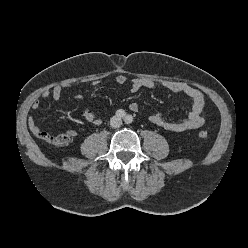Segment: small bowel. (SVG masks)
Here are the masks:
<instances>
[{"mask_svg":"<svg viewBox=\"0 0 248 248\" xmlns=\"http://www.w3.org/2000/svg\"><path fill=\"white\" fill-rule=\"evenodd\" d=\"M115 82L119 85H123L129 82L130 91L132 93H137L143 88L152 89L157 86H161L167 90L176 93H182L188 96L192 100V107L188 116L183 120L171 121L163 116L161 113H154L149 116V121L154 125L171 132H183L188 130H194L201 127L205 122V98L204 94L197 88L179 81L174 80H162L156 81L149 78H134L129 80L125 75H118ZM94 85H98L99 82L95 81ZM71 87L69 83H62L55 85L51 90H46L42 93L41 97L46 99L51 97L53 100H59L63 92ZM76 99L83 104L84 100L82 96H77ZM40 106V102L35 100L32 103V109L37 110ZM129 108L133 112L139 111V104L137 102H131ZM82 118L91 124L99 125L102 123V117L91 112L85 105L82 106L81 112ZM28 126L32 133L38 138L45 139L48 133L44 132L36 123L34 117L30 116L28 118ZM69 138H73L77 135V132L73 129L67 132Z\"/></svg>","mask_w":248,"mask_h":248,"instance_id":"1","label":"small bowel"}]
</instances>
